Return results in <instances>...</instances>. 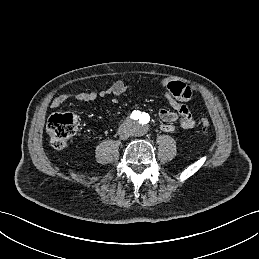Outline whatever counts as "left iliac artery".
I'll return each instance as SVG.
<instances>
[{"mask_svg": "<svg viewBox=\"0 0 259 259\" xmlns=\"http://www.w3.org/2000/svg\"><path fill=\"white\" fill-rule=\"evenodd\" d=\"M142 117L143 119H146V117L148 118L149 116L146 113H143Z\"/></svg>", "mask_w": 259, "mask_h": 259, "instance_id": "1", "label": "left iliac artery"}]
</instances>
